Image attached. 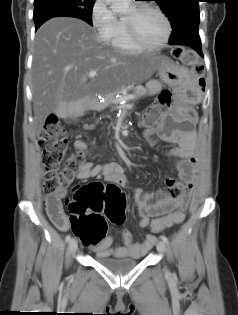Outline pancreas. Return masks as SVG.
<instances>
[{"label": "pancreas", "instance_id": "cf45deb5", "mask_svg": "<svg viewBox=\"0 0 238 315\" xmlns=\"http://www.w3.org/2000/svg\"><path fill=\"white\" fill-rule=\"evenodd\" d=\"M147 94V89L141 85L135 87L133 89V95H135L136 99L144 97ZM118 100L114 98L113 95L109 96L107 101L105 102L106 105H111L112 103H116Z\"/></svg>", "mask_w": 238, "mask_h": 315}]
</instances>
